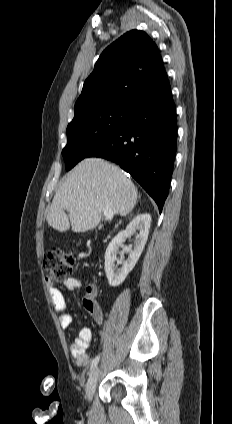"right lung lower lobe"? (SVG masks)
I'll return each mask as SVG.
<instances>
[{
    "label": "right lung lower lobe",
    "mask_w": 232,
    "mask_h": 424,
    "mask_svg": "<svg viewBox=\"0 0 232 424\" xmlns=\"http://www.w3.org/2000/svg\"><path fill=\"white\" fill-rule=\"evenodd\" d=\"M177 120L168 77L134 103L128 121L87 157L120 165L155 200L161 213L176 153Z\"/></svg>",
    "instance_id": "obj_1"
}]
</instances>
